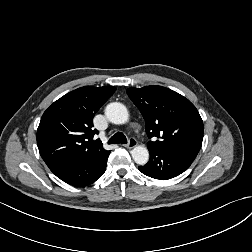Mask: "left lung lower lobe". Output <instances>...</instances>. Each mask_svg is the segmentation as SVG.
I'll return each instance as SVG.
<instances>
[{
	"label": "left lung lower lobe",
	"instance_id": "left-lung-lower-lobe-1",
	"mask_svg": "<svg viewBox=\"0 0 252 252\" xmlns=\"http://www.w3.org/2000/svg\"><path fill=\"white\" fill-rule=\"evenodd\" d=\"M150 159L139 170L152 178L167 180L183 173L197 155L184 151H149Z\"/></svg>",
	"mask_w": 252,
	"mask_h": 252
}]
</instances>
